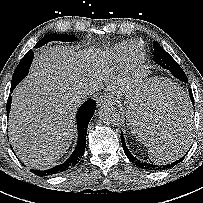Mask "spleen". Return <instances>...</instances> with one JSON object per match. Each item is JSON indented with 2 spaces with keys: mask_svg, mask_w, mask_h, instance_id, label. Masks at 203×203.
Wrapping results in <instances>:
<instances>
[{
  "mask_svg": "<svg viewBox=\"0 0 203 203\" xmlns=\"http://www.w3.org/2000/svg\"><path fill=\"white\" fill-rule=\"evenodd\" d=\"M144 99L150 102L153 107L159 110V114L163 113H176L181 111V108L190 110V103L186 92H184L179 86L175 85L172 81L156 80L149 88L144 92ZM136 119L141 122L138 115L135 113ZM143 125H147L145 122H141ZM132 133L142 141L148 147L149 158L159 164H166L179 159L184 152L188 149L190 143V132L187 131L186 136L179 140H168L160 146L155 145L148 141V139L141 133L137 132V129L132 128L129 124ZM148 127L155 128V125H148Z\"/></svg>",
  "mask_w": 203,
  "mask_h": 203,
  "instance_id": "spleen-1",
  "label": "spleen"
}]
</instances>
